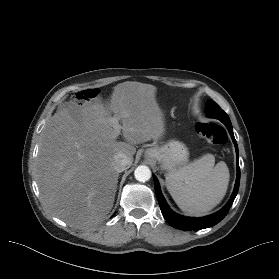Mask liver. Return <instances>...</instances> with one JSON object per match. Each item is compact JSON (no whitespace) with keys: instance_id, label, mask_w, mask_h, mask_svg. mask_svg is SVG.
Wrapping results in <instances>:
<instances>
[{"instance_id":"obj_1","label":"liver","mask_w":279,"mask_h":279,"mask_svg":"<svg viewBox=\"0 0 279 279\" xmlns=\"http://www.w3.org/2000/svg\"><path fill=\"white\" fill-rule=\"evenodd\" d=\"M156 90L150 84L127 81L114 87L108 106L95 99L86 106H61L51 117L42 133L36 181L43 204L54 216L86 229L110 213L119 177L114 156L123 153L133 161V145L164 134ZM113 118L121 122L126 142L116 140Z\"/></svg>"}]
</instances>
